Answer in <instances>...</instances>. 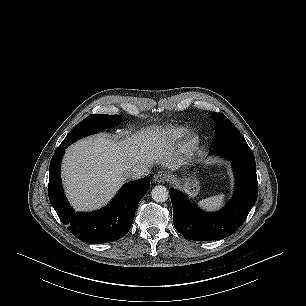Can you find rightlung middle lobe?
Segmentation results:
<instances>
[{"instance_id":"obj_1","label":"right lung middle lobe","mask_w":306,"mask_h":306,"mask_svg":"<svg viewBox=\"0 0 306 306\" xmlns=\"http://www.w3.org/2000/svg\"><path fill=\"white\" fill-rule=\"evenodd\" d=\"M122 115L92 114L78 123L66 136L60 147H68L71 143L105 128H109L121 122Z\"/></svg>"}]
</instances>
